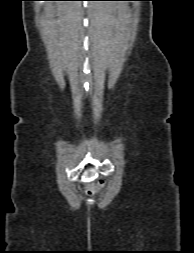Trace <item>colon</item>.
<instances>
[{
  "instance_id": "1",
  "label": "colon",
  "mask_w": 194,
  "mask_h": 253,
  "mask_svg": "<svg viewBox=\"0 0 194 253\" xmlns=\"http://www.w3.org/2000/svg\"><path fill=\"white\" fill-rule=\"evenodd\" d=\"M100 186H101V182H97V183L91 184L90 187H89V189H88L89 193L94 192V191L97 190Z\"/></svg>"
}]
</instances>
